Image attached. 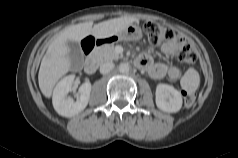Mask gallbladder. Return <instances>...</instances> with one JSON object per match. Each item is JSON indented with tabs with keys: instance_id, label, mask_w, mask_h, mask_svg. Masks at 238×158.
Returning a JSON list of instances; mask_svg holds the SVG:
<instances>
[{
	"instance_id": "gallbladder-1",
	"label": "gallbladder",
	"mask_w": 238,
	"mask_h": 158,
	"mask_svg": "<svg viewBox=\"0 0 238 158\" xmlns=\"http://www.w3.org/2000/svg\"><path fill=\"white\" fill-rule=\"evenodd\" d=\"M69 49V58L73 66L80 67L83 63V53L78 42L67 41L66 43Z\"/></svg>"
}]
</instances>
